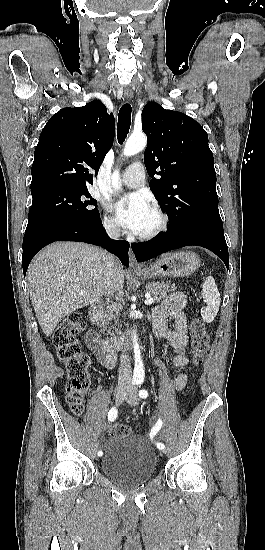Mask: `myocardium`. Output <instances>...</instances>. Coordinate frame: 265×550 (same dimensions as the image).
<instances>
[{"label":"myocardium","mask_w":265,"mask_h":550,"mask_svg":"<svg viewBox=\"0 0 265 550\" xmlns=\"http://www.w3.org/2000/svg\"><path fill=\"white\" fill-rule=\"evenodd\" d=\"M151 211L157 217V225L150 231L138 233L136 236L141 240H151L164 233L169 224L168 216L158 207H152Z\"/></svg>","instance_id":"myocardium-1"}]
</instances>
